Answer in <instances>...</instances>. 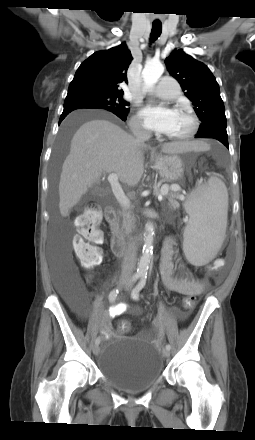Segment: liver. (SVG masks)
<instances>
[{
    "label": "liver",
    "mask_w": 255,
    "mask_h": 440,
    "mask_svg": "<svg viewBox=\"0 0 255 440\" xmlns=\"http://www.w3.org/2000/svg\"><path fill=\"white\" fill-rule=\"evenodd\" d=\"M201 141L166 143L161 151L178 154L207 149ZM144 149L118 125L104 119H91L73 135L59 182V210L67 217L89 187L98 183L103 173H115L120 181L136 186L144 172Z\"/></svg>",
    "instance_id": "obj_1"
}]
</instances>
